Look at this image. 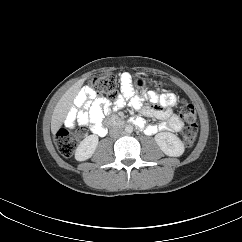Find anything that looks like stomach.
Here are the masks:
<instances>
[{
    "label": "stomach",
    "instance_id": "stomach-1",
    "mask_svg": "<svg viewBox=\"0 0 242 242\" xmlns=\"http://www.w3.org/2000/svg\"><path fill=\"white\" fill-rule=\"evenodd\" d=\"M143 86H144V79L138 76L136 80V87L143 88Z\"/></svg>",
    "mask_w": 242,
    "mask_h": 242
}]
</instances>
